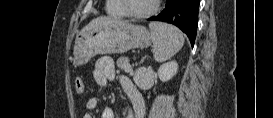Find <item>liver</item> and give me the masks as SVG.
Masks as SVG:
<instances>
[{
    "mask_svg": "<svg viewBox=\"0 0 273 118\" xmlns=\"http://www.w3.org/2000/svg\"><path fill=\"white\" fill-rule=\"evenodd\" d=\"M116 20L108 18V17H98L96 19H93L88 25H86L81 33L86 32L92 28H95L97 26H103V25H107L110 24L112 22H115Z\"/></svg>",
    "mask_w": 273,
    "mask_h": 118,
    "instance_id": "6515ba94",
    "label": "liver"
}]
</instances>
